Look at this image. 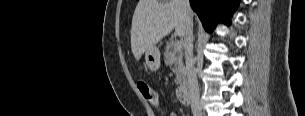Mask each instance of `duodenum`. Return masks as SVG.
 <instances>
[{
  "mask_svg": "<svg viewBox=\"0 0 305 116\" xmlns=\"http://www.w3.org/2000/svg\"><path fill=\"white\" fill-rule=\"evenodd\" d=\"M178 98L181 104L188 105L190 103V93L186 85H182L178 89Z\"/></svg>",
  "mask_w": 305,
  "mask_h": 116,
  "instance_id": "duodenum-1",
  "label": "duodenum"
}]
</instances>
